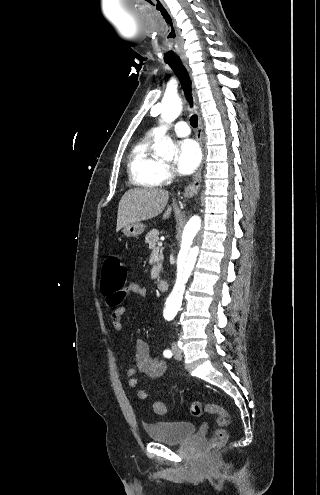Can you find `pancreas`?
<instances>
[{
    "label": "pancreas",
    "instance_id": "pancreas-1",
    "mask_svg": "<svg viewBox=\"0 0 320 495\" xmlns=\"http://www.w3.org/2000/svg\"><path fill=\"white\" fill-rule=\"evenodd\" d=\"M145 242L149 244L151 249H159L156 246L159 243V231L157 229L149 231L145 237ZM160 265L161 263H158V266Z\"/></svg>",
    "mask_w": 320,
    "mask_h": 495
}]
</instances>
